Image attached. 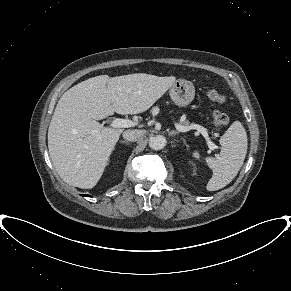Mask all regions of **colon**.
<instances>
[{
  "label": "colon",
  "instance_id": "5ec220e1",
  "mask_svg": "<svg viewBox=\"0 0 291 291\" xmlns=\"http://www.w3.org/2000/svg\"><path fill=\"white\" fill-rule=\"evenodd\" d=\"M205 98L211 104H221L225 101V97L214 89H208L205 93ZM213 123L217 128L221 129L229 123V118L225 113L215 111L213 113Z\"/></svg>",
  "mask_w": 291,
  "mask_h": 291
}]
</instances>
